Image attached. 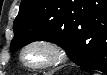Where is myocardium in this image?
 <instances>
[{
  "label": "myocardium",
  "instance_id": "f54148a6",
  "mask_svg": "<svg viewBox=\"0 0 107 75\" xmlns=\"http://www.w3.org/2000/svg\"><path fill=\"white\" fill-rule=\"evenodd\" d=\"M35 48H41L50 54V59L40 64H30L26 61V53ZM19 58L21 63L31 70H42L58 66L64 63L67 58L66 49L58 42L47 38H36L27 42L20 50Z\"/></svg>",
  "mask_w": 107,
  "mask_h": 75
}]
</instances>
